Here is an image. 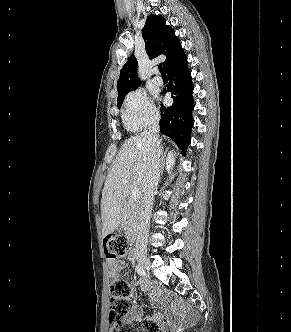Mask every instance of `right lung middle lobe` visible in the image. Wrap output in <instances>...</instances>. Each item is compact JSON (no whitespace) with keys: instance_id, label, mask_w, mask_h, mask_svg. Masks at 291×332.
Here are the masks:
<instances>
[{"instance_id":"dd1d6c3e","label":"right lung middle lobe","mask_w":291,"mask_h":332,"mask_svg":"<svg viewBox=\"0 0 291 332\" xmlns=\"http://www.w3.org/2000/svg\"><path fill=\"white\" fill-rule=\"evenodd\" d=\"M123 103V99L117 102V107L120 108Z\"/></svg>"}]
</instances>
